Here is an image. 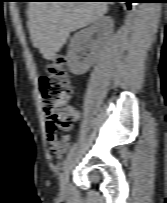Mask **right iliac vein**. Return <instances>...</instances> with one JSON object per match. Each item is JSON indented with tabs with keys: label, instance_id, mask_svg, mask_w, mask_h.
<instances>
[{
	"label": "right iliac vein",
	"instance_id": "right-iliac-vein-1",
	"mask_svg": "<svg viewBox=\"0 0 167 203\" xmlns=\"http://www.w3.org/2000/svg\"><path fill=\"white\" fill-rule=\"evenodd\" d=\"M74 162L73 159H71L67 165V167L65 168L63 174L61 175L60 178V193L62 196H66V194L68 193V188H69V176H70V172L73 168Z\"/></svg>",
	"mask_w": 167,
	"mask_h": 203
}]
</instances>
